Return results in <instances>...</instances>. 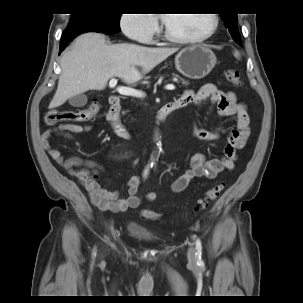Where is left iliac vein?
<instances>
[{"label": "left iliac vein", "instance_id": "1", "mask_svg": "<svg viewBox=\"0 0 303 303\" xmlns=\"http://www.w3.org/2000/svg\"><path fill=\"white\" fill-rule=\"evenodd\" d=\"M188 260L190 263H196L195 248L190 246L188 250Z\"/></svg>", "mask_w": 303, "mask_h": 303}]
</instances>
